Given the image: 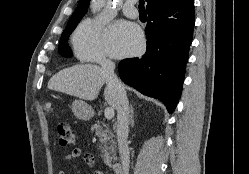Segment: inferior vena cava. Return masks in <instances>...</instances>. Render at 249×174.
<instances>
[{
	"mask_svg": "<svg viewBox=\"0 0 249 174\" xmlns=\"http://www.w3.org/2000/svg\"><path fill=\"white\" fill-rule=\"evenodd\" d=\"M101 68L109 76L117 95V140L123 174H129V149L127 144L129 132V102L124 86L114 73L115 64L109 59H102Z\"/></svg>",
	"mask_w": 249,
	"mask_h": 174,
	"instance_id": "1",
	"label": "inferior vena cava"
}]
</instances>
